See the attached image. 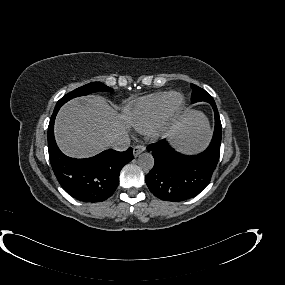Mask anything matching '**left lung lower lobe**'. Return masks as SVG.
<instances>
[{
    "instance_id": "1",
    "label": "left lung lower lobe",
    "mask_w": 285,
    "mask_h": 285,
    "mask_svg": "<svg viewBox=\"0 0 285 285\" xmlns=\"http://www.w3.org/2000/svg\"><path fill=\"white\" fill-rule=\"evenodd\" d=\"M215 130L209 147L187 156L176 152L165 140L147 146L155 160L145 181L150 191L165 201H184L198 195L210 182L220 155L221 121L214 101Z\"/></svg>"
}]
</instances>
